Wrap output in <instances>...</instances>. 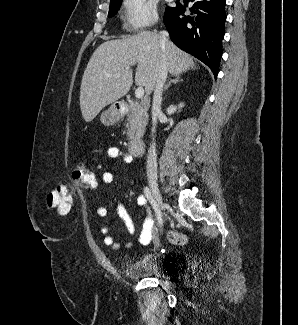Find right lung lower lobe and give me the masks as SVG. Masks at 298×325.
Listing matches in <instances>:
<instances>
[{
    "label": "right lung lower lobe",
    "instance_id": "right-lung-lower-lobe-1",
    "mask_svg": "<svg viewBox=\"0 0 298 325\" xmlns=\"http://www.w3.org/2000/svg\"><path fill=\"white\" fill-rule=\"evenodd\" d=\"M194 1L185 15L186 8L177 5L167 9L165 26L171 40L182 50L205 63L216 78L222 55V39L226 20V0Z\"/></svg>",
    "mask_w": 298,
    "mask_h": 325
}]
</instances>
